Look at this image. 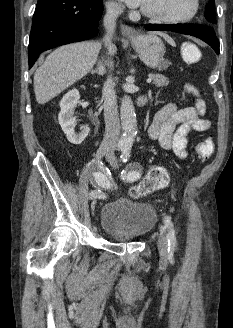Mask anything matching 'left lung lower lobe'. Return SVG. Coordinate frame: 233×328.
Returning <instances> with one entry per match:
<instances>
[{"label": "left lung lower lobe", "instance_id": "1", "mask_svg": "<svg viewBox=\"0 0 233 328\" xmlns=\"http://www.w3.org/2000/svg\"><path fill=\"white\" fill-rule=\"evenodd\" d=\"M145 29L150 31H173L197 37L209 44L219 54V42L211 28L197 24H146Z\"/></svg>", "mask_w": 233, "mask_h": 328}]
</instances>
